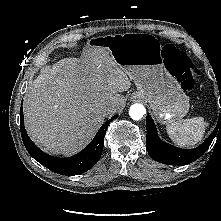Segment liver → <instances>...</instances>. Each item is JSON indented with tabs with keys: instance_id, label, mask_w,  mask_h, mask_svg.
<instances>
[{
	"instance_id": "1",
	"label": "liver",
	"mask_w": 221,
	"mask_h": 221,
	"mask_svg": "<svg viewBox=\"0 0 221 221\" xmlns=\"http://www.w3.org/2000/svg\"><path fill=\"white\" fill-rule=\"evenodd\" d=\"M130 77L106 47L91 46L81 59L64 58L42 68L29 86L23 110L29 136L46 152L72 155L83 149L104 122V108L126 100Z\"/></svg>"
}]
</instances>
